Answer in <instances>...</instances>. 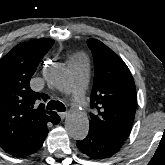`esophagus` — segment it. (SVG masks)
I'll list each match as a JSON object with an SVG mask.
<instances>
[{"label":"esophagus","mask_w":165,"mask_h":165,"mask_svg":"<svg viewBox=\"0 0 165 165\" xmlns=\"http://www.w3.org/2000/svg\"><path fill=\"white\" fill-rule=\"evenodd\" d=\"M67 115H68V113H66V112H59V116L61 119H65Z\"/></svg>","instance_id":"esophagus-1"}]
</instances>
